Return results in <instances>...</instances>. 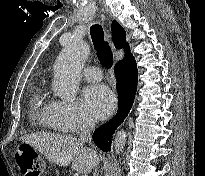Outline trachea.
<instances>
[{"label": "trachea", "mask_w": 205, "mask_h": 176, "mask_svg": "<svg viewBox=\"0 0 205 176\" xmlns=\"http://www.w3.org/2000/svg\"><path fill=\"white\" fill-rule=\"evenodd\" d=\"M90 35L100 63L108 69L111 68L113 64V55L108 42L104 38L102 26L99 24L92 25L90 28Z\"/></svg>", "instance_id": "1"}]
</instances>
